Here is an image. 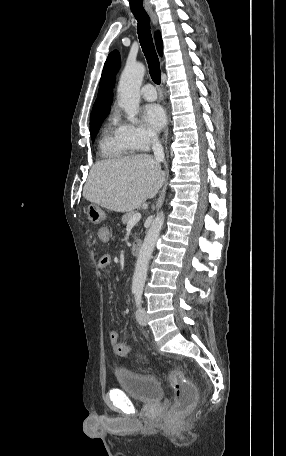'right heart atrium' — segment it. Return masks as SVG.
<instances>
[{
	"label": "right heart atrium",
	"instance_id": "obj_1",
	"mask_svg": "<svg viewBox=\"0 0 286 456\" xmlns=\"http://www.w3.org/2000/svg\"><path fill=\"white\" fill-rule=\"evenodd\" d=\"M120 127L134 149L145 150L156 140V134L141 123H122Z\"/></svg>",
	"mask_w": 286,
	"mask_h": 456
}]
</instances>
